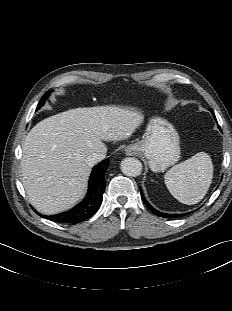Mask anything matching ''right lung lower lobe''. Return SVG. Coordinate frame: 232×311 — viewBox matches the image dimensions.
<instances>
[{
    "label": "right lung lower lobe",
    "instance_id": "obj_1",
    "mask_svg": "<svg viewBox=\"0 0 232 311\" xmlns=\"http://www.w3.org/2000/svg\"><path fill=\"white\" fill-rule=\"evenodd\" d=\"M110 163L109 159L104 160L93 169L89 179V190L85 199L71 210L57 215H40L51 221L60 223L76 224L94 215L102 203L105 189L104 172Z\"/></svg>",
    "mask_w": 232,
    "mask_h": 311
}]
</instances>
